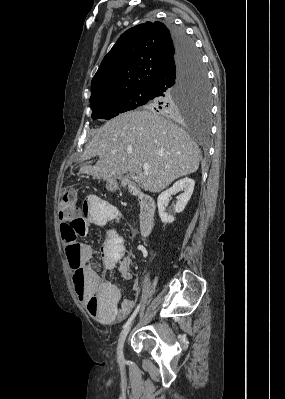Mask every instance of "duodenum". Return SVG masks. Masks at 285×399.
<instances>
[{"label": "duodenum", "instance_id": "obj_1", "mask_svg": "<svg viewBox=\"0 0 285 399\" xmlns=\"http://www.w3.org/2000/svg\"><path fill=\"white\" fill-rule=\"evenodd\" d=\"M132 193L138 196L139 203L141 205L140 212V230L142 236H147L155 221V204L151 197L141 194L136 188H132Z\"/></svg>", "mask_w": 285, "mask_h": 399}]
</instances>
